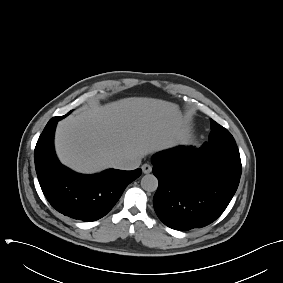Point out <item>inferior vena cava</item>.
Instances as JSON below:
<instances>
[{
	"mask_svg": "<svg viewBox=\"0 0 283 283\" xmlns=\"http://www.w3.org/2000/svg\"><path fill=\"white\" fill-rule=\"evenodd\" d=\"M141 160L140 159H128L122 158L114 163V168L122 169V170H133L140 166Z\"/></svg>",
	"mask_w": 283,
	"mask_h": 283,
	"instance_id": "1",
	"label": "inferior vena cava"
}]
</instances>
